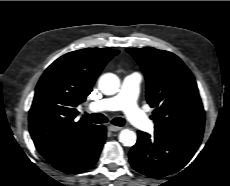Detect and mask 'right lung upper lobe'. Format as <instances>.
Masks as SVG:
<instances>
[{
	"label": "right lung upper lobe",
	"mask_w": 230,
	"mask_h": 186,
	"mask_svg": "<svg viewBox=\"0 0 230 186\" xmlns=\"http://www.w3.org/2000/svg\"><path fill=\"white\" fill-rule=\"evenodd\" d=\"M118 50L86 48L54 61L41 76L29 111V130L40 154L48 161L62 156L95 125L74 121L104 66Z\"/></svg>",
	"instance_id": "1"
}]
</instances>
